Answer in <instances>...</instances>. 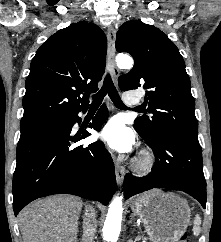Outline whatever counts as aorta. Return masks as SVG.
Segmentation results:
<instances>
[{
  "label": "aorta",
  "instance_id": "obj_1",
  "mask_svg": "<svg viewBox=\"0 0 221 242\" xmlns=\"http://www.w3.org/2000/svg\"><path fill=\"white\" fill-rule=\"evenodd\" d=\"M116 62L120 69H130L133 65V59L127 55L117 56ZM122 213V197L116 196L109 205L107 217L103 226V238L105 241H118L121 230Z\"/></svg>",
  "mask_w": 221,
  "mask_h": 242
}]
</instances>
